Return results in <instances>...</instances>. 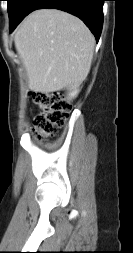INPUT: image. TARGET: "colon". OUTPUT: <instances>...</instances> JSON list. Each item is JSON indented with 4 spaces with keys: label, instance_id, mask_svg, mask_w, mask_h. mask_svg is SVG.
Returning a JSON list of instances; mask_svg holds the SVG:
<instances>
[{
    "label": "colon",
    "instance_id": "obj_1",
    "mask_svg": "<svg viewBox=\"0 0 133 253\" xmlns=\"http://www.w3.org/2000/svg\"><path fill=\"white\" fill-rule=\"evenodd\" d=\"M31 96L40 110L33 121L34 132L41 137L53 135L67 120V103L55 92H33Z\"/></svg>",
    "mask_w": 133,
    "mask_h": 253
}]
</instances>
